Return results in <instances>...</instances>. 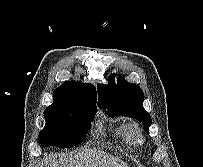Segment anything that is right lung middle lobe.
I'll return each instance as SVG.
<instances>
[{"label":"right lung middle lobe","instance_id":"dd1d6c3e","mask_svg":"<svg viewBox=\"0 0 203 167\" xmlns=\"http://www.w3.org/2000/svg\"><path fill=\"white\" fill-rule=\"evenodd\" d=\"M96 112V102L92 101L44 111L46 124L39 132V142L43 147H72L81 143Z\"/></svg>","mask_w":203,"mask_h":167}]
</instances>
